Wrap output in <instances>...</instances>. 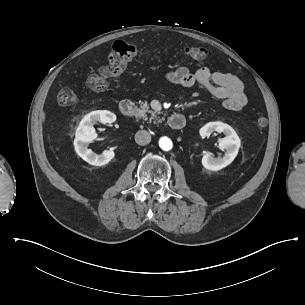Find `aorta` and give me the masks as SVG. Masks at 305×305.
Here are the masks:
<instances>
[{"instance_id": "762f6f07", "label": "aorta", "mask_w": 305, "mask_h": 305, "mask_svg": "<svg viewBox=\"0 0 305 305\" xmlns=\"http://www.w3.org/2000/svg\"><path fill=\"white\" fill-rule=\"evenodd\" d=\"M159 146L162 150L169 151L172 149L173 143L168 137H161L159 139Z\"/></svg>"}]
</instances>
